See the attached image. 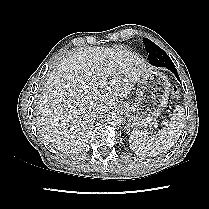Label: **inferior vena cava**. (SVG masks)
<instances>
[{
  "label": "inferior vena cava",
  "instance_id": "inferior-vena-cava-1",
  "mask_svg": "<svg viewBox=\"0 0 209 209\" xmlns=\"http://www.w3.org/2000/svg\"><path fill=\"white\" fill-rule=\"evenodd\" d=\"M100 114L99 113H94V118H99Z\"/></svg>",
  "mask_w": 209,
  "mask_h": 209
}]
</instances>
